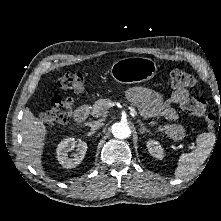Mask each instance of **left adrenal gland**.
<instances>
[{"label": "left adrenal gland", "instance_id": "a2214340", "mask_svg": "<svg viewBox=\"0 0 221 221\" xmlns=\"http://www.w3.org/2000/svg\"><path fill=\"white\" fill-rule=\"evenodd\" d=\"M138 122L140 124V132L141 133H145V132L150 133V131L143 125V123L141 121H138Z\"/></svg>", "mask_w": 221, "mask_h": 221}]
</instances>
